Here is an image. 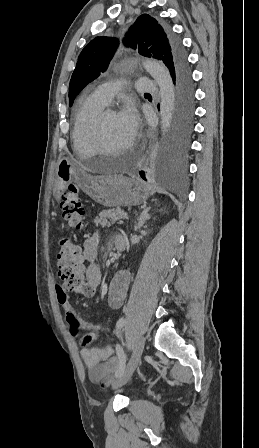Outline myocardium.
<instances>
[{
	"mask_svg": "<svg viewBox=\"0 0 259 448\" xmlns=\"http://www.w3.org/2000/svg\"><path fill=\"white\" fill-rule=\"evenodd\" d=\"M117 112L114 107H104L96 116L93 131V142L95 147L104 154L113 153L114 150L107 143L105 136V121L109 115H116ZM75 156L78 157V163H85L79 153L75 152ZM97 171H108L104 169H97Z\"/></svg>",
	"mask_w": 259,
	"mask_h": 448,
	"instance_id": "1",
	"label": "myocardium"
}]
</instances>
